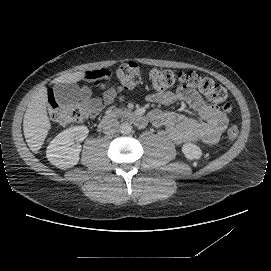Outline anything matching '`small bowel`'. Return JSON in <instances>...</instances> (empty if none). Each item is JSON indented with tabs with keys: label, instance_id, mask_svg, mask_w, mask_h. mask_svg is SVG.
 <instances>
[{
	"label": "small bowel",
	"instance_id": "small-bowel-1",
	"mask_svg": "<svg viewBox=\"0 0 271 271\" xmlns=\"http://www.w3.org/2000/svg\"><path fill=\"white\" fill-rule=\"evenodd\" d=\"M105 72L107 70L104 69L88 71L84 77L88 81H94ZM104 89V104L110 105L118 98L116 91L114 88L104 87ZM90 91L91 89L88 86L82 88L81 97L83 100L88 99ZM148 100L165 106L183 102L193 112L192 116L161 113L159 111L151 112L149 116L151 122L155 125L164 126L169 138L177 144L193 141L216 143L227 128L228 119L225 113L210 105L198 93L187 86H179L174 91L159 95H149Z\"/></svg>",
	"mask_w": 271,
	"mask_h": 271
}]
</instances>
